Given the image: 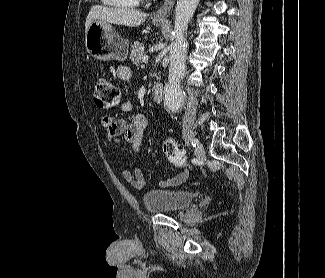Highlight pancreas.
Here are the masks:
<instances>
[{"instance_id":"pancreas-1","label":"pancreas","mask_w":325,"mask_h":278,"mask_svg":"<svg viewBox=\"0 0 325 278\" xmlns=\"http://www.w3.org/2000/svg\"><path fill=\"white\" fill-rule=\"evenodd\" d=\"M144 55H145L144 45L139 41L134 42V44L131 45L130 48L131 62L136 66H138Z\"/></svg>"}]
</instances>
